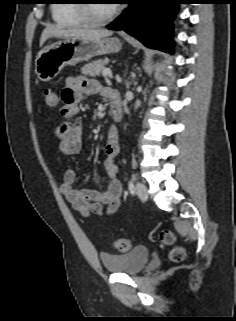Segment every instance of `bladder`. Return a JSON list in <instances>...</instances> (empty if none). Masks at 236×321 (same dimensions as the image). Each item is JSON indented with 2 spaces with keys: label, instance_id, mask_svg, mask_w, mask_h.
Listing matches in <instances>:
<instances>
[{
  "label": "bladder",
  "instance_id": "bladder-1",
  "mask_svg": "<svg viewBox=\"0 0 236 321\" xmlns=\"http://www.w3.org/2000/svg\"><path fill=\"white\" fill-rule=\"evenodd\" d=\"M150 254L147 247L137 246L123 254H102L101 261L108 272L134 275L146 266Z\"/></svg>",
  "mask_w": 236,
  "mask_h": 321
}]
</instances>
